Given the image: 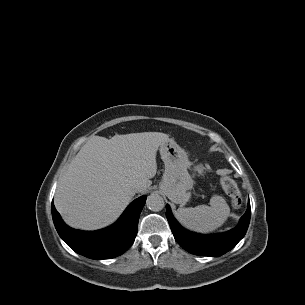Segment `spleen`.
Instances as JSON below:
<instances>
[{
    "label": "spleen",
    "mask_w": 305,
    "mask_h": 305,
    "mask_svg": "<svg viewBox=\"0 0 305 305\" xmlns=\"http://www.w3.org/2000/svg\"><path fill=\"white\" fill-rule=\"evenodd\" d=\"M229 213L230 208L225 199L222 196L213 195L210 199V206L180 207L175 215L185 228L200 233H208L222 226Z\"/></svg>",
    "instance_id": "1"
}]
</instances>
